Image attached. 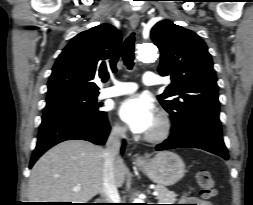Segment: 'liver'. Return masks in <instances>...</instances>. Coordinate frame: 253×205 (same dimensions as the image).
I'll return each instance as SVG.
<instances>
[{
	"instance_id": "1",
	"label": "liver",
	"mask_w": 253,
	"mask_h": 205,
	"mask_svg": "<svg viewBox=\"0 0 253 205\" xmlns=\"http://www.w3.org/2000/svg\"><path fill=\"white\" fill-rule=\"evenodd\" d=\"M103 151V148L83 140H68L54 146L31 170L29 200L87 203L102 189ZM126 171L123 160L116 158L114 175L117 187L123 185ZM78 184L80 190L74 191Z\"/></svg>"
}]
</instances>
